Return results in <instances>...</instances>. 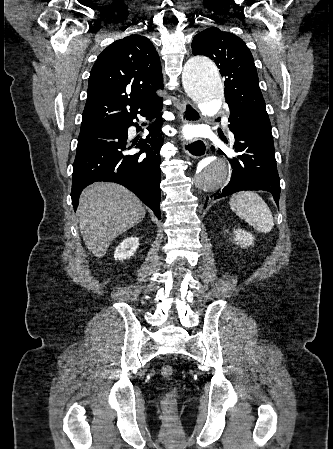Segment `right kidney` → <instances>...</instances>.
<instances>
[{"instance_id":"right-kidney-1","label":"right kidney","mask_w":333,"mask_h":449,"mask_svg":"<svg viewBox=\"0 0 333 449\" xmlns=\"http://www.w3.org/2000/svg\"><path fill=\"white\" fill-rule=\"evenodd\" d=\"M139 246L138 237H129L124 239L117 247L114 252V258L116 260H125L134 255Z\"/></svg>"}]
</instances>
